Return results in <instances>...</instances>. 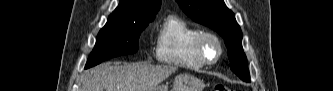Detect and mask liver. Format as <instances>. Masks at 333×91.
<instances>
[{
	"instance_id": "obj_1",
	"label": "liver",
	"mask_w": 333,
	"mask_h": 91,
	"mask_svg": "<svg viewBox=\"0 0 333 91\" xmlns=\"http://www.w3.org/2000/svg\"><path fill=\"white\" fill-rule=\"evenodd\" d=\"M175 66L144 63H104L84 73L82 91H154Z\"/></svg>"
}]
</instances>
